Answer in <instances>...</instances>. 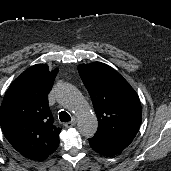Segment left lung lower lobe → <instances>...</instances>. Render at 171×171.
I'll list each match as a JSON object with an SVG mask.
<instances>
[{
    "label": "left lung lower lobe",
    "instance_id": "0a47b994",
    "mask_svg": "<svg viewBox=\"0 0 171 171\" xmlns=\"http://www.w3.org/2000/svg\"><path fill=\"white\" fill-rule=\"evenodd\" d=\"M89 143L93 150L105 156H114L122 151L121 149L104 143L94 137L89 139Z\"/></svg>",
    "mask_w": 171,
    "mask_h": 171
}]
</instances>
